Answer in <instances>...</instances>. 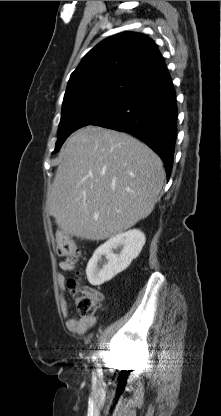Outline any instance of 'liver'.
Returning <instances> with one entry per match:
<instances>
[{
	"instance_id": "6515ba94",
	"label": "liver",
	"mask_w": 221,
	"mask_h": 416,
	"mask_svg": "<svg viewBox=\"0 0 221 416\" xmlns=\"http://www.w3.org/2000/svg\"><path fill=\"white\" fill-rule=\"evenodd\" d=\"M164 179L162 160L146 144L89 125L66 142L47 196L49 213L67 234L104 240L151 214Z\"/></svg>"
}]
</instances>
